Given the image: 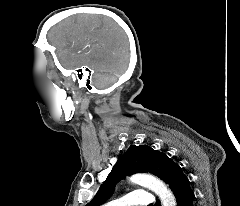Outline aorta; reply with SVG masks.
I'll return each mask as SVG.
<instances>
[{
    "label": "aorta",
    "instance_id": "762f6f07",
    "mask_svg": "<svg viewBox=\"0 0 240 206\" xmlns=\"http://www.w3.org/2000/svg\"><path fill=\"white\" fill-rule=\"evenodd\" d=\"M130 180L153 191L160 198L162 206H176L174 195L158 178L149 174H136Z\"/></svg>",
    "mask_w": 240,
    "mask_h": 206
}]
</instances>
